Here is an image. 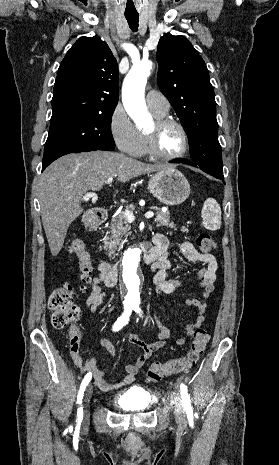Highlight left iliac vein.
<instances>
[{"mask_svg":"<svg viewBox=\"0 0 279 465\" xmlns=\"http://www.w3.org/2000/svg\"><path fill=\"white\" fill-rule=\"evenodd\" d=\"M175 418L178 424H186L185 406L180 394L175 397Z\"/></svg>","mask_w":279,"mask_h":465,"instance_id":"4c4485c4","label":"left iliac vein"}]
</instances>
